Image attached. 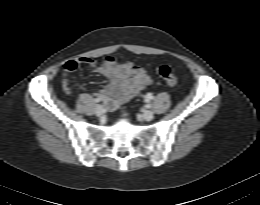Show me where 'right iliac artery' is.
<instances>
[{
    "label": "right iliac artery",
    "mask_w": 260,
    "mask_h": 205,
    "mask_svg": "<svg viewBox=\"0 0 260 205\" xmlns=\"http://www.w3.org/2000/svg\"><path fill=\"white\" fill-rule=\"evenodd\" d=\"M94 101H95L96 103H99V102L101 101V99H100V98H96Z\"/></svg>",
    "instance_id": "1"
}]
</instances>
